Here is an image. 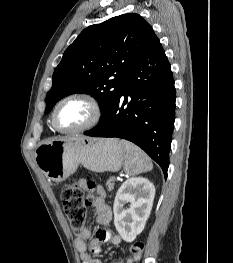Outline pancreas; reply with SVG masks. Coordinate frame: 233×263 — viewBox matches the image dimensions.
Segmentation results:
<instances>
[{
	"label": "pancreas",
	"mask_w": 233,
	"mask_h": 263,
	"mask_svg": "<svg viewBox=\"0 0 233 263\" xmlns=\"http://www.w3.org/2000/svg\"><path fill=\"white\" fill-rule=\"evenodd\" d=\"M114 181L110 178L107 183H106V186L108 188V191H112L114 189Z\"/></svg>",
	"instance_id": "cf45deb5"
}]
</instances>
